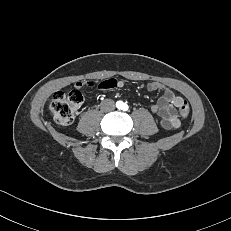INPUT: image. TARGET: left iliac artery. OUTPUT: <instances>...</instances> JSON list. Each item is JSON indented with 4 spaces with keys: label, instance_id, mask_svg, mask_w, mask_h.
<instances>
[{
    "label": "left iliac artery",
    "instance_id": "1",
    "mask_svg": "<svg viewBox=\"0 0 231 231\" xmlns=\"http://www.w3.org/2000/svg\"><path fill=\"white\" fill-rule=\"evenodd\" d=\"M128 108H129V107H128V105H127V104H123V105H122V110H123V111H127V110H128Z\"/></svg>",
    "mask_w": 231,
    "mask_h": 231
}]
</instances>
